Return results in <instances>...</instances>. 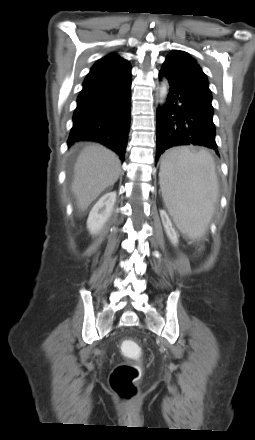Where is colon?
<instances>
[{
	"instance_id": "5ec220e1",
	"label": "colon",
	"mask_w": 255,
	"mask_h": 440,
	"mask_svg": "<svg viewBox=\"0 0 255 440\" xmlns=\"http://www.w3.org/2000/svg\"><path fill=\"white\" fill-rule=\"evenodd\" d=\"M122 353L130 358L136 359L140 355V347L133 340L121 342ZM141 377V368L137 363L119 364L111 372L110 385L112 389L123 400L133 398L137 392V382Z\"/></svg>"
}]
</instances>
